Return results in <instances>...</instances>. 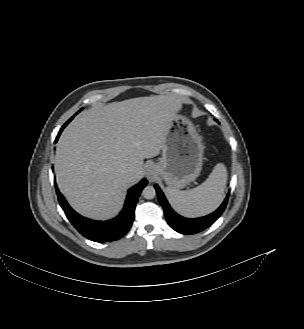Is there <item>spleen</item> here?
<instances>
[{
    "instance_id": "spleen-1",
    "label": "spleen",
    "mask_w": 304,
    "mask_h": 329,
    "mask_svg": "<svg viewBox=\"0 0 304 329\" xmlns=\"http://www.w3.org/2000/svg\"><path fill=\"white\" fill-rule=\"evenodd\" d=\"M226 183V167L223 163H218L201 185L185 191L167 187L166 193L172 207L179 214L197 217L206 215L219 206Z\"/></svg>"
}]
</instances>
